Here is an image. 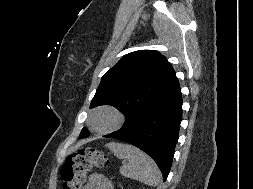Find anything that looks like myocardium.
Wrapping results in <instances>:
<instances>
[{"label": "myocardium", "instance_id": "obj_1", "mask_svg": "<svg viewBox=\"0 0 253 189\" xmlns=\"http://www.w3.org/2000/svg\"><path fill=\"white\" fill-rule=\"evenodd\" d=\"M102 113L109 114L112 118V121H111V124L107 126L106 128H97L95 126V120L97 116H99ZM123 121H124V117L118 109H116L113 106L105 105V106L98 107L92 112L89 119V125L92 128V130L95 131L96 133L107 134L120 128Z\"/></svg>", "mask_w": 253, "mask_h": 189}]
</instances>
